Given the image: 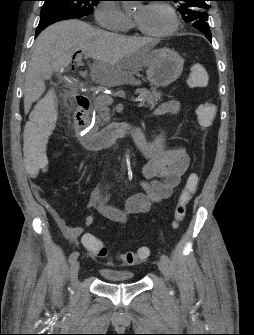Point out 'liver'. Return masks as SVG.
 <instances>
[{
    "mask_svg": "<svg viewBox=\"0 0 254 335\" xmlns=\"http://www.w3.org/2000/svg\"><path fill=\"white\" fill-rule=\"evenodd\" d=\"M151 40L95 28L80 20H65L44 29L37 37L24 83V111L44 93L45 80L67 69L81 51L95 61L91 76L103 86L121 81L124 70L136 72L151 63Z\"/></svg>",
    "mask_w": 254,
    "mask_h": 335,
    "instance_id": "obj_1",
    "label": "liver"
}]
</instances>
